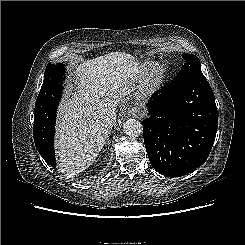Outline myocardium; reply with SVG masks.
<instances>
[{"label":"myocardium","instance_id":"myocardium-1","mask_svg":"<svg viewBox=\"0 0 245 245\" xmlns=\"http://www.w3.org/2000/svg\"><path fill=\"white\" fill-rule=\"evenodd\" d=\"M162 72V66L158 62H153L149 65L147 75L144 81V86L147 91H151L156 84Z\"/></svg>","mask_w":245,"mask_h":245}]
</instances>
